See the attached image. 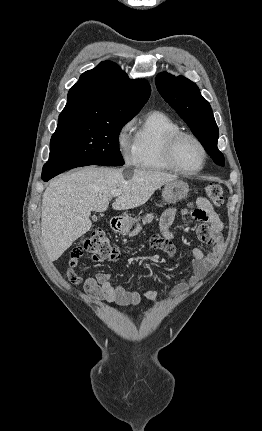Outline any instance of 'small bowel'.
I'll list each match as a JSON object with an SVG mask.
<instances>
[{
    "instance_id": "1",
    "label": "small bowel",
    "mask_w": 262,
    "mask_h": 431,
    "mask_svg": "<svg viewBox=\"0 0 262 431\" xmlns=\"http://www.w3.org/2000/svg\"><path fill=\"white\" fill-rule=\"evenodd\" d=\"M194 203L197 208L196 218L200 221L198 235L204 243L210 246L211 250L204 252L198 247L192 249L191 273L184 281L174 286L170 293L172 298L182 296L201 281L215 266L224 247L222 237L223 222L218 217L211 202L204 197H197ZM176 212L177 209L171 208L163 213L160 219V229L166 244L155 247L169 257L174 256L176 252L172 243L173 235L170 230ZM74 285H82L87 294L95 299L114 303L118 306L138 305L140 303V296L136 291L127 290L121 285L115 286L107 273H99L96 277H79L75 279ZM145 296L150 301L156 302L159 292L147 290L145 291Z\"/></svg>"
}]
</instances>
